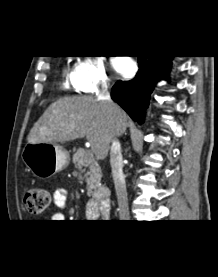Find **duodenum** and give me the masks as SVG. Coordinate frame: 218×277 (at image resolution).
<instances>
[{
  "mask_svg": "<svg viewBox=\"0 0 218 277\" xmlns=\"http://www.w3.org/2000/svg\"><path fill=\"white\" fill-rule=\"evenodd\" d=\"M95 201L103 212H108L111 204V191L108 187H102L95 193Z\"/></svg>",
  "mask_w": 218,
  "mask_h": 277,
  "instance_id": "410a0bca",
  "label": "duodenum"
}]
</instances>
